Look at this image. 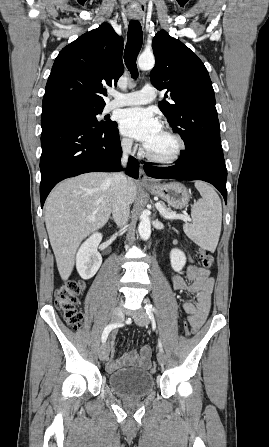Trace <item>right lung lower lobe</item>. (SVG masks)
<instances>
[{"mask_svg": "<svg viewBox=\"0 0 269 447\" xmlns=\"http://www.w3.org/2000/svg\"><path fill=\"white\" fill-rule=\"evenodd\" d=\"M41 126V207L51 189L65 178L94 171L122 170L117 127L98 129L65 110L43 112ZM127 168L126 173L137 179L138 161L129 157Z\"/></svg>", "mask_w": 269, "mask_h": 447, "instance_id": "1", "label": "right lung lower lobe"}]
</instances>
